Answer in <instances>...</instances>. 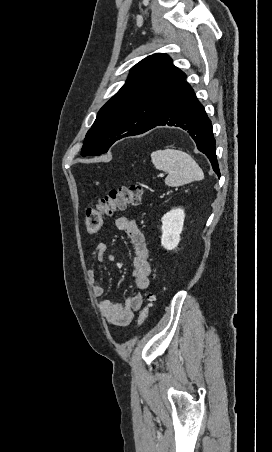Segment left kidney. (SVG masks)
Listing matches in <instances>:
<instances>
[{
  "instance_id": "obj_1",
  "label": "left kidney",
  "mask_w": 272,
  "mask_h": 452,
  "mask_svg": "<svg viewBox=\"0 0 272 452\" xmlns=\"http://www.w3.org/2000/svg\"><path fill=\"white\" fill-rule=\"evenodd\" d=\"M184 219L185 213L181 208L172 209L162 217L161 245L166 250H173L178 246Z\"/></svg>"
}]
</instances>
